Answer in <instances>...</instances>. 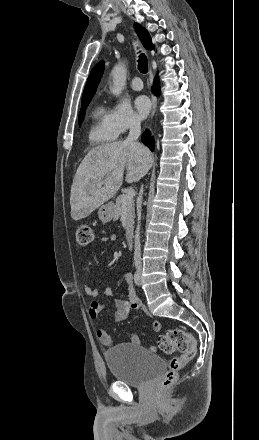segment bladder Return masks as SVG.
<instances>
[{"mask_svg":"<svg viewBox=\"0 0 259 440\" xmlns=\"http://www.w3.org/2000/svg\"><path fill=\"white\" fill-rule=\"evenodd\" d=\"M112 376L131 386H143L165 369L164 360L137 345L117 346L105 353Z\"/></svg>","mask_w":259,"mask_h":440,"instance_id":"31cf9c89","label":"bladder"}]
</instances>
